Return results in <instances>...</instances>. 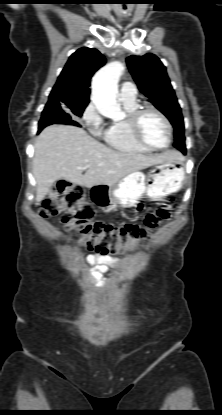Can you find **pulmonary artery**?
<instances>
[{
  "label": "pulmonary artery",
  "mask_w": 222,
  "mask_h": 415,
  "mask_svg": "<svg viewBox=\"0 0 222 415\" xmlns=\"http://www.w3.org/2000/svg\"><path fill=\"white\" fill-rule=\"evenodd\" d=\"M137 94L136 87L131 82H123L120 88V98L123 101L135 100Z\"/></svg>",
  "instance_id": "pulmonary-artery-1"
}]
</instances>
